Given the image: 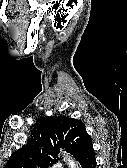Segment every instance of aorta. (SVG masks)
Segmentation results:
<instances>
[{"instance_id":"obj_1","label":"aorta","mask_w":127,"mask_h":168,"mask_svg":"<svg viewBox=\"0 0 127 168\" xmlns=\"http://www.w3.org/2000/svg\"><path fill=\"white\" fill-rule=\"evenodd\" d=\"M68 164H69V167L70 168H76V164H75V162L73 161V160H68Z\"/></svg>"}]
</instances>
